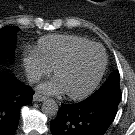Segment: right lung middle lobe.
Segmentation results:
<instances>
[{
	"instance_id": "1",
	"label": "right lung middle lobe",
	"mask_w": 135,
	"mask_h": 135,
	"mask_svg": "<svg viewBox=\"0 0 135 135\" xmlns=\"http://www.w3.org/2000/svg\"><path fill=\"white\" fill-rule=\"evenodd\" d=\"M19 28L7 26L0 29V62L14 56L16 47V32Z\"/></svg>"
}]
</instances>
